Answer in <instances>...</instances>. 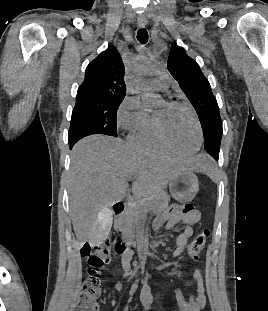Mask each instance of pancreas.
<instances>
[{
  "mask_svg": "<svg viewBox=\"0 0 268 311\" xmlns=\"http://www.w3.org/2000/svg\"><path fill=\"white\" fill-rule=\"evenodd\" d=\"M169 201L170 196L165 192L144 199H135L126 212L116 220L115 228L122 233L125 240H130L142 234L148 211L151 210L153 213L162 212L168 207Z\"/></svg>",
  "mask_w": 268,
  "mask_h": 311,
  "instance_id": "1",
  "label": "pancreas"
}]
</instances>
